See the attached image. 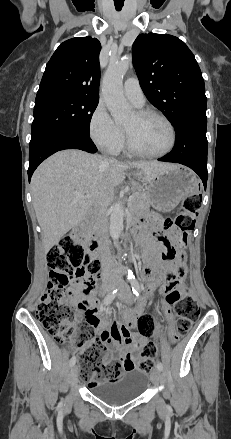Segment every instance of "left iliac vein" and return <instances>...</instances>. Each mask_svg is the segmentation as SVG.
<instances>
[{
    "label": "left iliac vein",
    "instance_id": "left-iliac-vein-1",
    "mask_svg": "<svg viewBox=\"0 0 231 439\" xmlns=\"http://www.w3.org/2000/svg\"><path fill=\"white\" fill-rule=\"evenodd\" d=\"M116 287L120 290L119 297L122 298L126 303H129L132 299V292L129 285L124 282L123 280H120L116 283ZM160 370L154 369L151 373V382L155 385H157L160 381ZM163 401L161 399L158 400V405H162Z\"/></svg>",
    "mask_w": 231,
    "mask_h": 439
}]
</instances>
